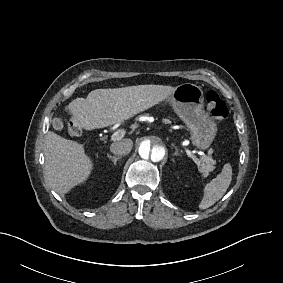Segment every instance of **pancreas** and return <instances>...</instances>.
I'll use <instances>...</instances> for the list:
<instances>
[{
    "label": "pancreas",
    "mask_w": 283,
    "mask_h": 283,
    "mask_svg": "<svg viewBox=\"0 0 283 283\" xmlns=\"http://www.w3.org/2000/svg\"><path fill=\"white\" fill-rule=\"evenodd\" d=\"M165 124H170L171 121L164 120ZM216 164V161L211 158V156L203 157L200 160V163L197 165L198 172L201 174L202 177H207L209 175V172L213 171L214 165Z\"/></svg>",
    "instance_id": "1"
}]
</instances>
